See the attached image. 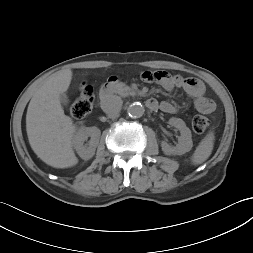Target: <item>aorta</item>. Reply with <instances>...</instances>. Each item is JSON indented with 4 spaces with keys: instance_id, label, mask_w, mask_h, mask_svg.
Masks as SVG:
<instances>
[{
    "instance_id": "1",
    "label": "aorta",
    "mask_w": 253,
    "mask_h": 253,
    "mask_svg": "<svg viewBox=\"0 0 253 253\" xmlns=\"http://www.w3.org/2000/svg\"><path fill=\"white\" fill-rule=\"evenodd\" d=\"M145 112L144 106L139 102L131 103L127 108V113L130 117L140 118Z\"/></svg>"
}]
</instances>
